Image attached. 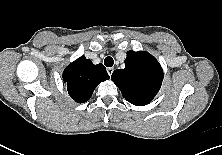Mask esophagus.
Wrapping results in <instances>:
<instances>
[{
	"label": "esophagus",
	"instance_id": "obj_1",
	"mask_svg": "<svg viewBox=\"0 0 222 155\" xmlns=\"http://www.w3.org/2000/svg\"><path fill=\"white\" fill-rule=\"evenodd\" d=\"M113 71H114L113 68H111V67L107 68V73L109 74V76L112 75Z\"/></svg>",
	"mask_w": 222,
	"mask_h": 155
}]
</instances>
